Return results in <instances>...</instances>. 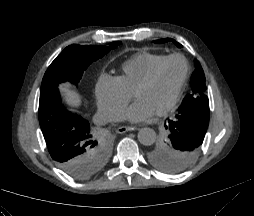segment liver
Segmentation results:
<instances>
[{
  "label": "liver",
  "instance_id": "1",
  "mask_svg": "<svg viewBox=\"0 0 254 216\" xmlns=\"http://www.w3.org/2000/svg\"><path fill=\"white\" fill-rule=\"evenodd\" d=\"M60 89L64 93L69 104L77 106L80 103V96L71 91L68 85H61Z\"/></svg>",
  "mask_w": 254,
  "mask_h": 216
}]
</instances>
